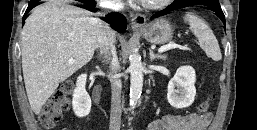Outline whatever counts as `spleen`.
I'll return each instance as SVG.
<instances>
[{
  "mask_svg": "<svg viewBox=\"0 0 257 130\" xmlns=\"http://www.w3.org/2000/svg\"><path fill=\"white\" fill-rule=\"evenodd\" d=\"M184 20L188 22L190 30L197 37L200 47L206 54L214 61L221 60L222 54L218 41L207 22L191 12L185 14Z\"/></svg>",
  "mask_w": 257,
  "mask_h": 130,
  "instance_id": "3e777b00",
  "label": "spleen"
}]
</instances>
